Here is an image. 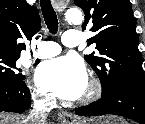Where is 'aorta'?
Instances as JSON below:
<instances>
[{
	"label": "aorta",
	"instance_id": "762f6f07",
	"mask_svg": "<svg viewBox=\"0 0 145 124\" xmlns=\"http://www.w3.org/2000/svg\"><path fill=\"white\" fill-rule=\"evenodd\" d=\"M66 19L69 23L78 24L83 20L82 12L78 9H69L66 12Z\"/></svg>",
	"mask_w": 145,
	"mask_h": 124
}]
</instances>
